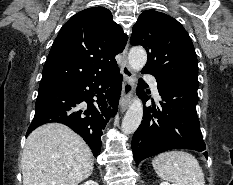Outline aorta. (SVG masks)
Instances as JSON below:
<instances>
[{
  "label": "aorta",
  "instance_id": "762f6f07",
  "mask_svg": "<svg viewBox=\"0 0 233 185\" xmlns=\"http://www.w3.org/2000/svg\"><path fill=\"white\" fill-rule=\"evenodd\" d=\"M129 65L132 70L140 71L147 62V53L142 47H133L128 54ZM143 117V105L139 98L132 101L121 124V131L124 134L134 133L141 124Z\"/></svg>",
  "mask_w": 233,
  "mask_h": 185
}]
</instances>
